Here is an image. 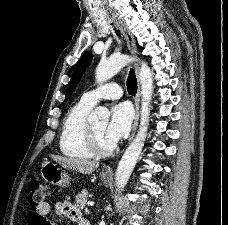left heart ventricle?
<instances>
[{
	"label": "left heart ventricle",
	"instance_id": "1",
	"mask_svg": "<svg viewBox=\"0 0 228 225\" xmlns=\"http://www.w3.org/2000/svg\"><path fill=\"white\" fill-rule=\"evenodd\" d=\"M93 127L95 128V130L97 131V133L100 135V137L104 142L106 143L112 142L106 137V128H107L106 122L93 124Z\"/></svg>",
	"mask_w": 228,
	"mask_h": 225
}]
</instances>
